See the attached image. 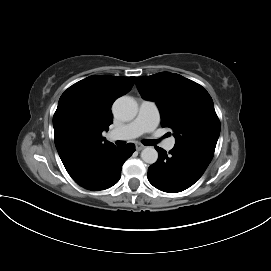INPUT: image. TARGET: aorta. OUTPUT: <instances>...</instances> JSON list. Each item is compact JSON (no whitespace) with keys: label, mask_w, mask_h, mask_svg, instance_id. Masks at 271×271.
Listing matches in <instances>:
<instances>
[{"label":"aorta","mask_w":271,"mask_h":271,"mask_svg":"<svg viewBox=\"0 0 271 271\" xmlns=\"http://www.w3.org/2000/svg\"><path fill=\"white\" fill-rule=\"evenodd\" d=\"M113 112L120 120L130 121L137 115V102L128 96L120 97L114 102ZM141 158L145 163L153 164L158 159V152L154 147H146L141 152Z\"/></svg>","instance_id":"762f6f07"}]
</instances>
